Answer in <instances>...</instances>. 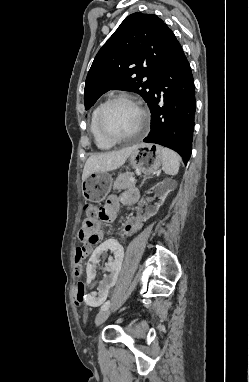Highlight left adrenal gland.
I'll use <instances>...</instances> for the list:
<instances>
[{
    "label": "left adrenal gland",
    "mask_w": 249,
    "mask_h": 382,
    "mask_svg": "<svg viewBox=\"0 0 249 382\" xmlns=\"http://www.w3.org/2000/svg\"><path fill=\"white\" fill-rule=\"evenodd\" d=\"M145 180H146V178L143 180L142 185L144 184ZM142 185H141V186H142Z\"/></svg>",
    "instance_id": "1"
}]
</instances>
